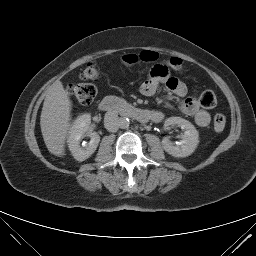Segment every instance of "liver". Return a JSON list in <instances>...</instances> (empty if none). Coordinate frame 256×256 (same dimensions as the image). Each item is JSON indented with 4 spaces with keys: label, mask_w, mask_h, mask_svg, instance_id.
Segmentation results:
<instances>
[{
    "label": "liver",
    "mask_w": 256,
    "mask_h": 256,
    "mask_svg": "<svg viewBox=\"0 0 256 256\" xmlns=\"http://www.w3.org/2000/svg\"><path fill=\"white\" fill-rule=\"evenodd\" d=\"M72 101L60 81L48 91L41 112L40 127L48 151L55 156L65 155V142L70 128Z\"/></svg>",
    "instance_id": "liver-1"
}]
</instances>
